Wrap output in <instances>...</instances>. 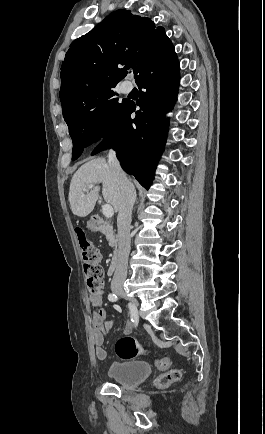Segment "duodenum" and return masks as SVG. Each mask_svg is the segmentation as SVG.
I'll return each instance as SVG.
<instances>
[{
	"label": "duodenum",
	"instance_id": "obj_1",
	"mask_svg": "<svg viewBox=\"0 0 265 434\" xmlns=\"http://www.w3.org/2000/svg\"><path fill=\"white\" fill-rule=\"evenodd\" d=\"M94 223H95V231L100 232V233H105L108 235H113L114 228L111 225H109L107 223H103L101 221H97V220H95ZM118 264H119V256H118L117 250H115V253L113 254L112 259L110 261V264L108 266V273L110 275H113L116 273V270L118 268Z\"/></svg>",
	"mask_w": 265,
	"mask_h": 434
}]
</instances>
